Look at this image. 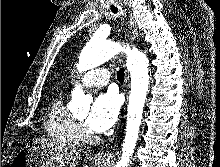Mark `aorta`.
<instances>
[{
	"label": "aorta",
	"instance_id": "aorta-1",
	"mask_svg": "<svg viewBox=\"0 0 220 167\" xmlns=\"http://www.w3.org/2000/svg\"><path fill=\"white\" fill-rule=\"evenodd\" d=\"M120 52L127 55L126 66L131 74V91L127 109V123L121 160L116 167H128L134 152L142 121L143 108L149 85V60L136 48L122 47L118 42L100 39L94 35L86 44L79 56L77 69L84 72L95 68ZM69 109L72 111L88 109L91 99L84 93L80 85H76L71 94Z\"/></svg>",
	"mask_w": 220,
	"mask_h": 167
}]
</instances>
